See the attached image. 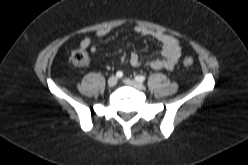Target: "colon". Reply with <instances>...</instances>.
<instances>
[{
	"instance_id": "colon-1",
	"label": "colon",
	"mask_w": 248,
	"mask_h": 165,
	"mask_svg": "<svg viewBox=\"0 0 248 165\" xmlns=\"http://www.w3.org/2000/svg\"><path fill=\"white\" fill-rule=\"evenodd\" d=\"M69 61L74 67H84L88 64L89 58L85 48L78 46L72 50ZM194 61L191 57H185L183 60V65L189 68L193 65Z\"/></svg>"
}]
</instances>
